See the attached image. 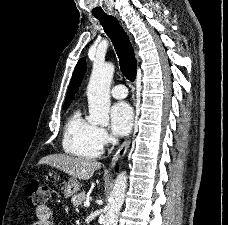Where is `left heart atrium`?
<instances>
[{
  "label": "left heart atrium",
  "instance_id": "1",
  "mask_svg": "<svg viewBox=\"0 0 228 225\" xmlns=\"http://www.w3.org/2000/svg\"><path fill=\"white\" fill-rule=\"evenodd\" d=\"M109 116L112 133L116 136L127 135L134 118L131 106L126 102H118L111 107Z\"/></svg>",
  "mask_w": 228,
  "mask_h": 225
}]
</instances>
